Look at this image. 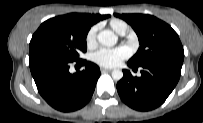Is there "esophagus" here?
<instances>
[{
	"mask_svg": "<svg viewBox=\"0 0 203 123\" xmlns=\"http://www.w3.org/2000/svg\"><path fill=\"white\" fill-rule=\"evenodd\" d=\"M112 71V69H108V68H101V72L104 73V72H110Z\"/></svg>",
	"mask_w": 203,
	"mask_h": 123,
	"instance_id": "esophagus-1",
	"label": "esophagus"
}]
</instances>
